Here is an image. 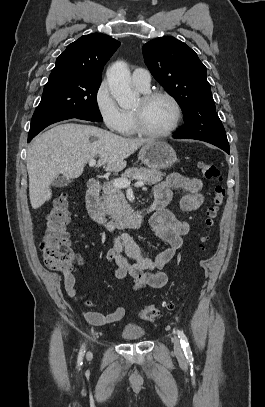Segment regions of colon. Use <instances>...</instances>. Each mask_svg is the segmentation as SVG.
Returning a JSON list of instances; mask_svg holds the SVG:
<instances>
[{"label": "colon", "instance_id": "colon-1", "mask_svg": "<svg viewBox=\"0 0 265 407\" xmlns=\"http://www.w3.org/2000/svg\"><path fill=\"white\" fill-rule=\"evenodd\" d=\"M198 166L203 176L214 183L212 201L206 210L204 234L201 237V245H204L215 225L226 192L222 185L221 173L213 162L201 160ZM69 221L70 200L68 195L61 194L54 200L46 215L45 231L40 246L43 261L50 269L67 271L74 262L75 253L66 231ZM176 306L174 303H165L162 306L149 305L143 308L139 315L141 319L153 322L174 310Z\"/></svg>", "mask_w": 265, "mask_h": 407}]
</instances>
